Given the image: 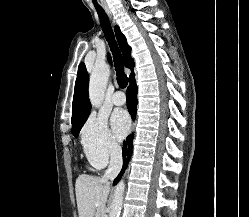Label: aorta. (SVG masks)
I'll use <instances>...</instances> for the list:
<instances>
[{
	"label": "aorta",
	"instance_id": "762f6f07",
	"mask_svg": "<svg viewBox=\"0 0 249 217\" xmlns=\"http://www.w3.org/2000/svg\"><path fill=\"white\" fill-rule=\"evenodd\" d=\"M109 76V69L107 66L96 67L89 82V99L94 107L100 106L103 97L107 79ZM125 184L120 181L115 187L113 201L110 207L109 217H119L122 209L123 195Z\"/></svg>",
	"mask_w": 249,
	"mask_h": 217
}]
</instances>
